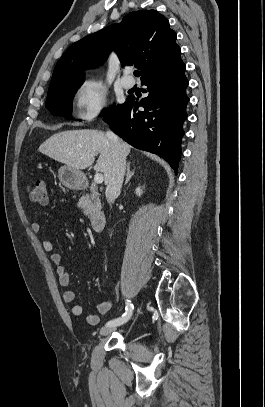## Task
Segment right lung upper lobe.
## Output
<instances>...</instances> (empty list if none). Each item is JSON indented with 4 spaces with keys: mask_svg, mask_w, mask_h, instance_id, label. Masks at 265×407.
Listing matches in <instances>:
<instances>
[{
    "mask_svg": "<svg viewBox=\"0 0 265 407\" xmlns=\"http://www.w3.org/2000/svg\"><path fill=\"white\" fill-rule=\"evenodd\" d=\"M169 21L155 10L130 13L119 24L110 25L72 44L57 62L51 84L84 82L82 70L103 63L114 50L122 66L142 71L141 79L181 52Z\"/></svg>",
    "mask_w": 265,
    "mask_h": 407,
    "instance_id": "cb5924a9",
    "label": "right lung upper lobe"
}]
</instances>
